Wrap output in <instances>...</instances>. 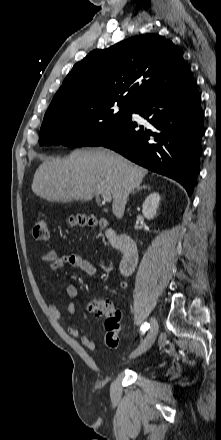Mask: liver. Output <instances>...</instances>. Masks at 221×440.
Returning <instances> with one entry per match:
<instances>
[{
    "mask_svg": "<svg viewBox=\"0 0 221 440\" xmlns=\"http://www.w3.org/2000/svg\"><path fill=\"white\" fill-rule=\"evenodd\" d=\"M147 173L108 149L74 150L67 159L45 160L34 174L32 191L50 202L90 201L109 192L112 211L122 218L129 194Z\"/></svg>",
    "mask_w": 221,
    "mask_h": 440,
    "instance_id": "liver-1",
    "label": "liver"
}]
</instances>
